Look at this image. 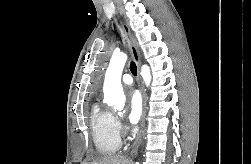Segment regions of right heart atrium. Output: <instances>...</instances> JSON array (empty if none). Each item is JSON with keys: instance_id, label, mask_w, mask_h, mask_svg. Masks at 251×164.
<instances>
[{"instance_id": "1", "label": "right heart atrium", "mask_w": 251, "mask_h": 164, "mask_svg": "<svg viewBox=\"0 0 251 164\" xmlns=\"http://www.w3.org/2000/svg\"><path fill=\"white\" fill-rule=\"evenodd\" d=\"M115 127H116L118 134H121L124 130V126H123L122 122L117 118H115Z\"/></svg>"}]
</instances>
